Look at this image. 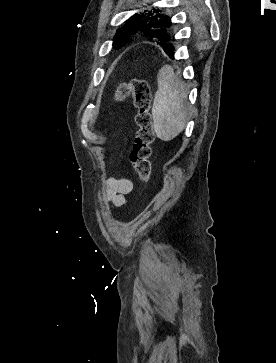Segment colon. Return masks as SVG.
<instances>
[{"instance_id":"colon-1","label":"colon","mask_w":276,"mask_h":363,"mask_svg":"<svg viewBox=\"0 0 276 363\" xmlns=\"http://www.w3.org/2000/svg\"><path fill=\"white\" fill-rule=\"evenodd\" d=\"M128 96L134 99L137 109L136 124L138 127L135 143L131 152V161L142 182H148L151 176V145L155 140V133L151 117V89L146 80L133 79L122 83L116 92L119 101Z\"/></svg>"}]
</instances>
